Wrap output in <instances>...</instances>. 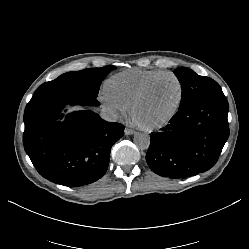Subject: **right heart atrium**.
<instances>
[{"label": "right heart atrium", "instance_id": "obj_1", "mask_svg": "<svg viewBox=\"0 0 249 249\" xmlns=\"http://www.w3.org/2000/svg\"><path fill=\"white\" fill-rule=\"evenodd\" d=\"M99 100L106 111L113 117H119L125 114L128 110V106L118 99L112 97L106 91L100 94Z\"/></svg>", "mask_w": 249, "mask_h": 249}]
</instances>
